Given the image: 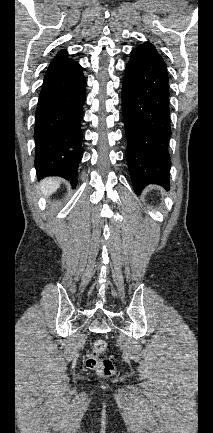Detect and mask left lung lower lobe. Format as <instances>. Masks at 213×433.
Segmentation results:
<instances>
[{"label":"left lung lower lobe","instance_id":"1","mask_svg":"<svg viewBox=\"0 0 213 433\" xmlns=\"http://www.w3.org/2000/svg\"><path fill=\"white\" fill-rule=\"evenodd\" d=\"M122 84L126 159L135 192L148 184L169 188L171 136L167 66L157 51L132 50Z\"/></svg>","mask_w":213,"mask_h":433}]
</instances>
